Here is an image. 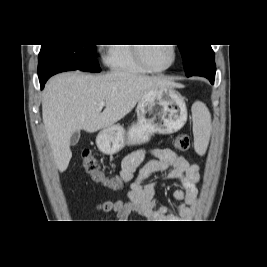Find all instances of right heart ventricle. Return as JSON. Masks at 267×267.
<instances>
[{"label": "right heart ventricle", "mask_w": 267, "mask_h": 267, "mask_svg": "<svg viewBox=\"0 0 267 267\" xmlns=\"http://www.w3.org/2000/svg\"><path fill=\"white\" fill-rule=\"evenodd\" d=\"M107 63L113 71L130 73H148L149 71L142 66L134 51V46L130 44L118 43L111 44Z\"/></svg>", "instance_id": "obj_1"}]
</instances>
